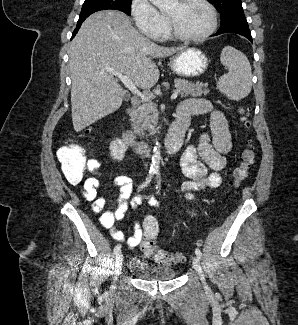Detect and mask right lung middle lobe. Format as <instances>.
Returning a JSON list of instances; mask_svg holds the SVG:
<instances>
[{
    "label": "right lung middle lobe",
    "mask_w": 298,
    "mask_h": 325,
    "mask_svg": "<svg viewBox=\"0 0 298 325\" xmlns=\"http://www.w3.org/2000/svg\"><path fill=\"white\" fill-rule=\"evenodd\" d=\"M132 0H85L79 20H85L96 11L105 9H116L130 15Z\"/></svg>",
    "instance_id": "1"
}]
</instances>
